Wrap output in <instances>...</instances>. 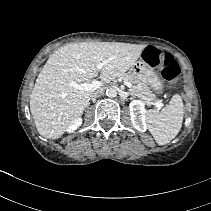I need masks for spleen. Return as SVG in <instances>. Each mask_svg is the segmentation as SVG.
I'll list each match as a JSON object with an SVG mask.
<instances>
[{
	"label": "spleen",
	"mask_w": 211,
	"mask_h": 211,
	"mask_svg": "<svg viewBox=\"0 0 211 211\" xmlns=\"http://www.w3.org/2000/svg\"><path fill=\"white\" fill-rule=\"evenodd\" d=\"M184 106L180 95L172 97L161 112L149 110L146 114L148 129L158 145H165L179 133L183 122Z\"/></svg>",
	"instance_id": "3e777b00"
}]
</instances>
